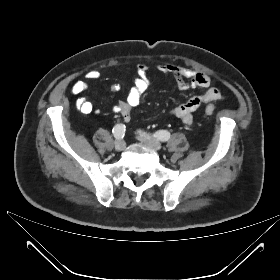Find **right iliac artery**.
I'll use <instances>...</instances> for the list:
<instances>
[{"label":"right iliac artery","instance_id":"82829eb1","mask_svg":"<svg viewBox=\"0 0 280 280\" xmlns=\"http://www.w3.org/2000/svg\"><path fill=\"white\" fill-rule=\"evenodd\" d=\"M125 125L117 124L114 126L112 132L116 139H122L125 136Z\"/></svg>","mask_w":280,"mask_h":280}]
</instances>
